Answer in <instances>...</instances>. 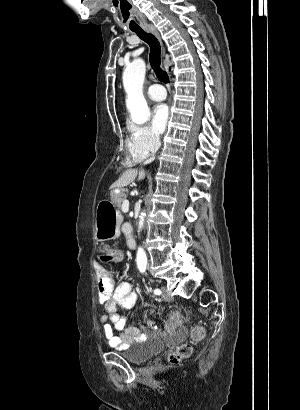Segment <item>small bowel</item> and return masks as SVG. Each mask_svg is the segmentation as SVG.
Returning a JSON list of instances; mask_svg holds the SVG:
<instances>
[{"mask_svg": "<svg viewBox=\"0 0 300 410\" xmlns=\"http://www.w3.org/2000/svg\"><path fill=\"white\" fill-rule=\"evenodd\" d=\"M98 299L104 305L106 314L101 318L103 334L113 348H123L143 339L141 330L128 326L119 308L130 310L136 300L135 292L128 281L115 283L113 276L101 265L95 267ZM176 329L177 327H173Z\"/></svg>", "mask_w": 300, "mask_h": 410, "instance_id": "obj_1", "label": "small bowel"}]
</instances>
